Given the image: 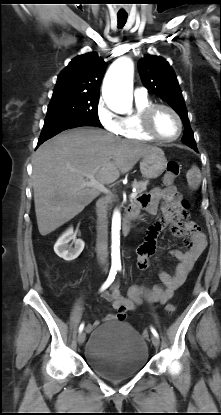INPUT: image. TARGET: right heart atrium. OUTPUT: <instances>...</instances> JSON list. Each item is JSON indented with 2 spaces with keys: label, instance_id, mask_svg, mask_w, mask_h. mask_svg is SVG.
<instances>
[{
  "label": "right heart atrium",
  "instance_id": "1",
  "mask_svg": "<svg viewBox=\"0 0 221 415\" xmlns=\"http://www.w3.org/2000/svg\"><path fill=\"white\" fill-rule=\"evenodd\" d=\"M97 119L101 126L112 134H120L122 117L114 113L105 102L100 99L96 108Z\"/></svg>",
  "mask_w": 221,
  "mask_h": 415
}]
</instances>
